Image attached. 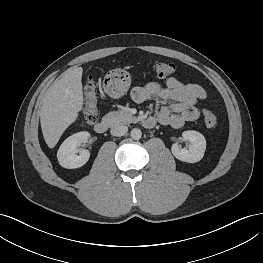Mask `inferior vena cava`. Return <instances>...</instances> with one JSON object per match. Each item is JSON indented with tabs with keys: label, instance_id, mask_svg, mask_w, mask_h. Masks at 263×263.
Segmentation results:
<instances>
[{
	"label": "inferior vena cava",
	"instance_id": "602c4592",
	"mask_svg": "<svg viewBox=\"0 0 263 263\" xmlns=\"http://www.w3.org/2000/svg\"><path fill=\"white\" fill-rule=\"evenodd\" d=\"M128 127L123 124H117L111 128V135L113 136H123L127 133Z\"/></svg>",
	"mask_w": 263,
	"mask_h": 263
}]
</instances>
